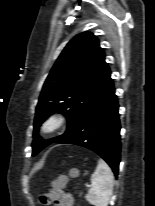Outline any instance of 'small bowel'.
<instances>
[{
    "label": "small bowel",
    "mask_w": 155,
    "mask_h": 206,
    "mask_svg": "<svg viewBox=\"0 0 155 206\" xmlns=\"http://www.w3.org/2000/svg\"><path fill=\"white\" fill-rule=\"evenodd\" d=\"M53 202L54 206H75L73 197L62 191L61 188L53 187Z\"/></svg>",
    "instance_id": "c3829d8e"
}]
</instances>
